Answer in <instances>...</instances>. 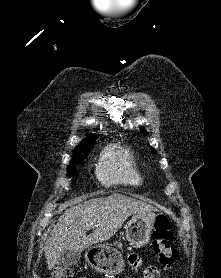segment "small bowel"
I'll list each match as a JSON object with an SVG mask.
<instances>
[{
	"mask_svg": "<svg viewBox=\"0 0 221 278\" xmlns=\"http://www.w3.org/2000/svg\"><path fill=\"white\" fill-rule=\"evenodd\" d=\"M128 262L133 269L137 270L139 268V260L135 255H130L128 257ZM146 271L147 270L144 271L143 278H150V277H148ZM125 278H128V277H125Z\"/></svg>",
	"mask_w": 221,
	"mask_h": 278,
	"instance_id": "small-bowel-1",
	"label": "small bowel"
}]
</instances>
